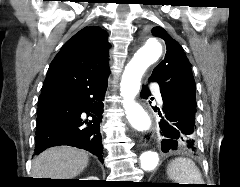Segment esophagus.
Instances as JSON below:
<instances>
[{
	"label": "esophagus",
	"instance_id": "1",
	"mask_svg": "<svg viewBox=\"0 0 240 187\" xmlns=\"http://www.w3.org/2000/svg\"><path fill=\"white\" fill-rule=\"evenodd\" d=\"M140 143H141V145H146L147 144V140L146 139H141Z\"/></svg>",
	"mask_w": 240,
	"mask_h": 187
}]
</instances>
